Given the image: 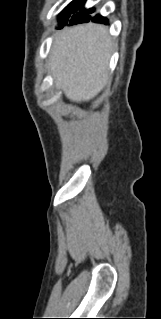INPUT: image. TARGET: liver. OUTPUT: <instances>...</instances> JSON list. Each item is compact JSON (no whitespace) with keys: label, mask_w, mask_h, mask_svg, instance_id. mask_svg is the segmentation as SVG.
Wrapping results in <instances>:
<instances>
[{"label":"liver","mask_w":161,"mask_h":319,"mask_svg":"<svg viewBox=\"0 0 161 319\" xmlns=\"http://www.w3.org/2000/svg\"><path fill=\"white\" fill-rule=\"evenodd\" d=\"M113 42L103 25L87 23L59 32L49 71L57 89L74 102L89 101L106 85Z\"/></svg>","instance_id":"liver-1"}]
</instances>
